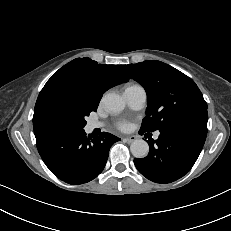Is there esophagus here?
Here are the masks:
<instances>
[{"mask_svg":"<svg viewBox=\"0 0 231 231\" xmlns=\"http://www.w3.org/2000/svg\"><path fill=\"white\" fill-rule=\"evenodd\" d=\"M136 139H137L136 136H127V137L124 138V140H125L127 143H132V142H134Z\"/></svg>","mask_w":231,"mask_h":231,"instance_id":"esophagus-1","label":"esophagus"}]
</instances>
